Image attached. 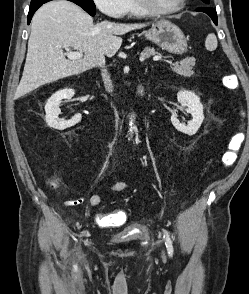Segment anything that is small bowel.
<instances>
[{
    "instance_id": "1",
    "label": "small bowel",
    "mask_w": 249,
    "mask_h": 294,
    "mask_svg": "<svg viewBox=\"0 0 249 294\" xmlns=\"http://www.w3.org/2000/svg\"><path fill=\"white\" fill-rule=\"evenodd\" d=\"M131 184L124 181H118L111 184L108 188V192H121L129 189ZM102 197L99 194H93L89 196L87 203L91 207H97L101 204ZM79 201H68L66 205L73 207L77 205ZM74 211V209H72ZM111 220H113L111 224ZM126 220V216L123 212H114L109 214H97L95 216V223L102 228H113L122 225Z\"/></svg>"
}]
</instances>
